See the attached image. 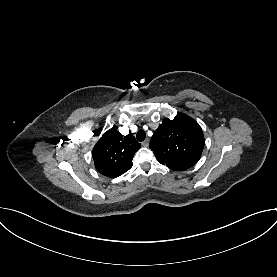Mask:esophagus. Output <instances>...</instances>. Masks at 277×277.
<instances>
[{"mask_svg":"<svg viewBox=\"0 0 277 277\" xmlns=\"http://www.w3.org/2000/svg\"><path fill=\"white\" fill-rule=\"evenodd\" d=\"M141 144L144 147H148V145H149V139L144 140Z\"/></svg>","mask_w":277,"mask_h":277,"instance_id":"1","label":"esophagus"}]
</instances>
